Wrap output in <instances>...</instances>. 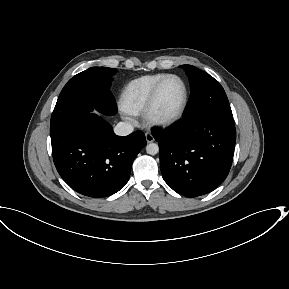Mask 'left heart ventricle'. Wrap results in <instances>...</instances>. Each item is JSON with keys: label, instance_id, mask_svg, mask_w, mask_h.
I'll use <instances>...</instances> for the list:
<instances>
[{"label": "left heart ventricle", "instance_id": "obj_1", "mask_svg": "<svg viewBox=\"0 0 289 289\" xmlns=\"http://www.w3.org/2000/svg\"><path fill=\"white\" fill-rule=\"evenodd\" d=\"M184 98V88L177 79H169L162 86L156 105L159 116H170L178 111Z\"/></svg>", "mask_w": 289, "mask_h": 289}]
</instances>
